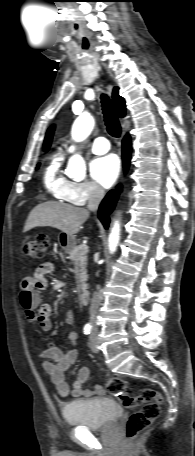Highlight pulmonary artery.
<instances>
[{
  "mask_svg": "<svg viewBox=\"0 0 195 456\" xmlns=\"http://www.w3.org/2000/svg\"><path fill=\"white\" fill-rule=\"evenodd\" d=\"M88 147L94 152L95 154H104L109 151L110 149V144L108 140L104 137H98L94 141L87 143L85 145H70L67 149L69 153L74 152L75 150L79 149L80 147Z\"/></svg>",
  "mask_w": 195,
  "mask_h": 456,
  "instance_id": "e3ab8cb5",
  "label": "pulmonary artery"
}]
</instances>
